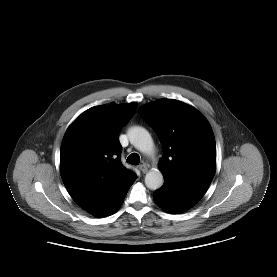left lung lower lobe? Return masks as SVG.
Returning a JSON list of instances; mask_svg holds the SVG:
<instances>
[{"label":"left lung lower lobe","mask_w":277,"mask_h":277,"mask_svg":"<svg viewBox=\"0 0 277 277\" xmlns=\"http://www.w3.org/2000/svg\"><path fill=\"white\" fill-rule=\"evenodd\" d=\"M205 192L206 190L201 188L182 187L164 182L163 186L155 191L154 199L165 211L177 214L194 206Z\"/></svg>","instance_id":"1"}]
</instances>
